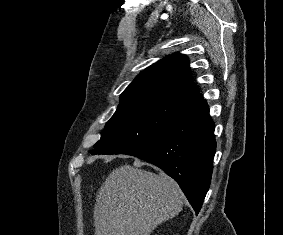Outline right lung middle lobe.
I'll return each instance as SVG.
<instances>
[{
  "mask_svg": "<svg viewBox=\"0 0 283 235\" xmlns=\"http://www.w3.org/2000/svg\"><path fill=\"white\" fill-rule=\"evenodd\" d=\"M187 109V104L172 101L120 102L92 154H125L147 144L168 131Z\"/></svg>",
  "mask_w": 283,
  "mask_h": 235,
  "instance_id": "1",
  "label": "right lung middle lobe"
}]
</instances>
